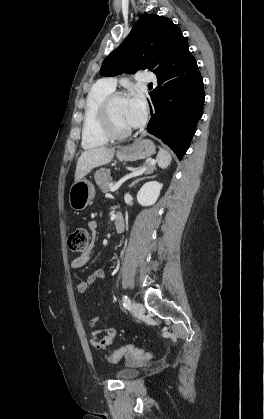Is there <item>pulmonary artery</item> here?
I'll return each mask as SVG.
<instances>
[{"label": "pulmonary artery", "instance_id": "pulmonary-artery-1", "mask_svg": "<svg viewBox=\"0 0 264 419\" xmlns=\"http://www.w3.org/2000/svg\"><path fill=\"white\" fill-rule=\"evenodd\" d=\"M137 80L142 82H155L156 76L154 73L149 71H141L137 74ZM103 83L111 89H115L117 81L114 77H109L103 80Z\"/></svg>", "mask_w": 264, "mask_h": 419}]
</instances>
